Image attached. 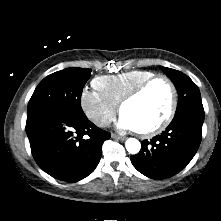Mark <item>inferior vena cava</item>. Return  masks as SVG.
Returning a JSON list of instances; mask_svg holds the SVG:
<instances>
[{
    "label": "inferior vena cava",
    "instance_id": "1",
    "mask_svg": "<svg viewBox=\"0 0 221 221\" xmlns=\"http://www.w3.org/2000/svg\"><path fill=\"white\" fill-rule=\"evenodd\" d=\"M110 123H111V121L105 117L99 119L97 122L98 126H100V127L109 126Z\"/></svg>",
    "mask_w": 221,
    "mask_h": 221
}]
</instances>
